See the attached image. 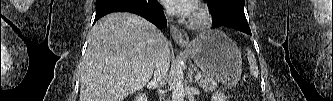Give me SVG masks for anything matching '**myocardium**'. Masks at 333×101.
<instances>
[{
	"label": "myocardium",
	"mask_w": 333,
	"mask_h": 101,
	"mask_svg": "<svg viewBox=\"0 0 333 101\" xmlns=\"http://www.w3.org/2000/svg\"><path fill=\"white\" fill-rule=\"evenodd\" d=\"M212 15L207 7L197 5L189 18V24L194 28H204L211 23Z\"/></svg>",
	"instance_id": "1"
}]
</instances>
